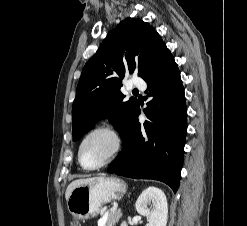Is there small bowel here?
<instances>
[{
  "label": "small bowel",
  "instance_id": "small-bowel-1",
  "mask_svg": "<svg viewBox=\"0 0 247 226\" xmlns=\"http://www.w3.org/2000/svg\"><path fill=\"white\" fill-rule=\"evenodd\" d=\"M121 226H127V225H125V224H122Z\"/></svg>",
  "mask_w": 247,
  "mask_h": 226
}]
</instances>
